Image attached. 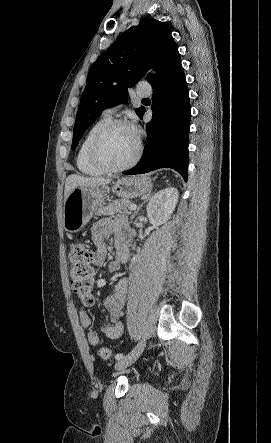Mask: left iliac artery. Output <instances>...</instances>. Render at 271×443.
Listing matches in <instances>:
<instances>
[{
    "label": "left iliac artery",
    "mask_w": 271,
    "mask_h": 443,
    "mask_svg": "<svg viewBox=\"0 0 271 443\" xmlns=\"http://www.w3.org/2000/svg\"><path fill=\"white\" fill-rule=\"evenodd\" d=\"M124 357H125V355L122 354V353H118V354L115 355V359H116V360L123 359Z\"/></svg>",
    "instance_id": "44dca946"
}]
</instances>
